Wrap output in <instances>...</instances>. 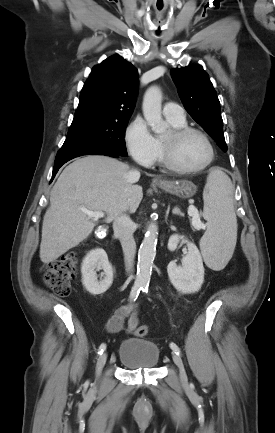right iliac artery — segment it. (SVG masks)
Segmentation results:
<instances>
[{
  "mask_svg": "<svg viewBox=\"0 0 275 433\" xmlns=\"http://www.w3.org/2000/svg\"><path fill=\"white\" fill-rule=\"evenodd\" d=\"M141 289H142V286H140V285H134L132 287L131 292H130V296H129L130 301H135L137 299V297H138ZM105 349H106V344L102 343L99 346L98 355H101L104 352Z\"/></svg>",
  "mask_w": 275,
  "mask_h": 433,
  "instance_id": "right-iliac-artery-1",
  "label": "right iliac artery"
}]
</instances>
